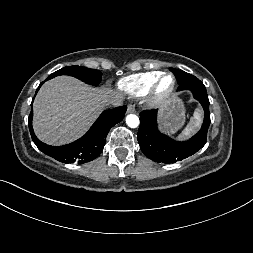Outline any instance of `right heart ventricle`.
I'll list each match as a JSON object with an SVG mask.
<instances>
[{
  "instance_id": "1",
  "label": "right heart ventricle",
  "mask_w": 253,
  "mask_h": 253,
  "mask_svg": "<svg viewBox=\"0 0 253 253\" xmlns=\"http://www.w3.org/2000/svg\"><path fill=\"white\" fill-rule=\"evenodd\" d=\"M160 74V71L132 74L120 79L118 86L120 90L131 97H141L147 94L152 83Z\"/></svg>"
}]
</instances>
